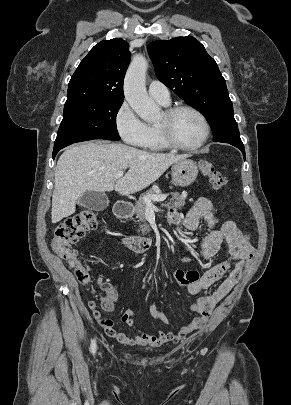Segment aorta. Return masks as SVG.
<instances>
[{
    "label": "aorta",
    "instance_id": "1",
    "mask_svg": "<svg viewBox=\"0 0 291 405\" xmlns=\"http://www.w3.org/2000/svg\"><path fill=\"white\" fill-rule=\"evenodd\" d=\"M147 60L137 55L131 61L124 80L125 99L136 114L147 122L159 116V107L150 99L145 87Z\"/></svg>",
    "mask_w": 291,
    "mask_h": 405
}]
</instances>
